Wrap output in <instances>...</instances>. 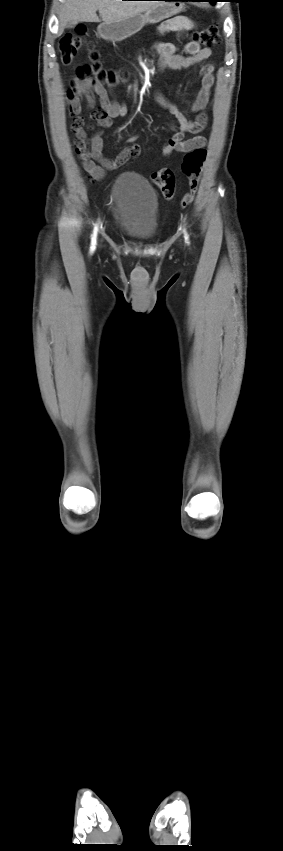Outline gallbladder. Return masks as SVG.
Wrapping results in <instances>:
<instances>
[{
  "label": "gallbladder",
  "instance_id": "bac80fb5",
  "mask_svg": "<svg viewBox=\"0 0 283 851\" xmlns=\"http://www.w3.org/2000/svg\"><path fill=\"white\" fill-rule=\"evenodd\" d=\"M74 26H75V23H73V22H68L66 24V28H73Z\"/></svg>",
  "mask_w": 283,
  "mask_h": 851
}]
</instances>
